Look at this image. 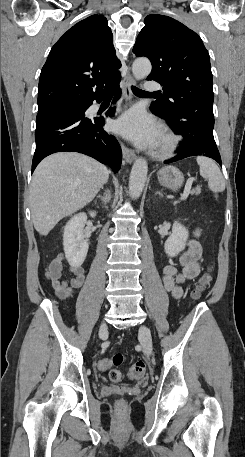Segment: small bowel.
I'll return each instance as SVG.
<instances>
[{
	"instance_id": "obj_1",
	"label": "small bowel",
	"mask_w": 245,
	"mask_h": 457,
	"mask_svg": "<svg viewBox=\"0 0 245 457\" xmlns=\"http://www.w3.org/2000/svg\"><path fill=\"white\" fill-rule=\"evenodd\" d=\"M200 230L194 232V238L188 241L187 250L181 255L179 270L174 265H167L163 268L162 282L165 290L174 298H180L183 294L181 284L198 276L200 273L199 259L202 248L197 240ZM71 273L69 279H65L66 266L63 254L57 255L45 268V277L51 283L55 294L62 300L69 298L75 290L82 286L84 281V269L78 265H69Z\"/></svg>"
}]
</instances>
